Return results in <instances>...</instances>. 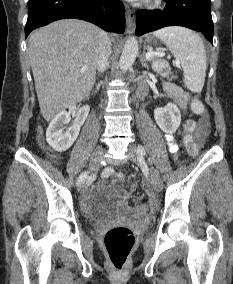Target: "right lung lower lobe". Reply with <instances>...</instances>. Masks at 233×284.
Masks as SVG:
<instances>
[{
	"mask_svg": "<svg viewBox=\"0 0 233 284\" xmlns=\"http://www.w3.org/2000/svg\"><path fill=\"white\" fill-rule=\"evenodd\" d=\"M78 18L116 33L125 30L123 4L119 0H29L25 36L55 20Z\"/></svg>",
	"mask_w": 233,
	"mask_h": 284,
	"instance_id": "right-lung-lower-lobe-1",
	"label": "right lung lower lobe"
}]
</instances>
